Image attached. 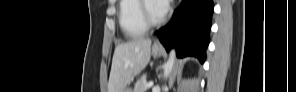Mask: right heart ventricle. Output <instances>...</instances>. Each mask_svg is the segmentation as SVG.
<instances>
[{"instance_id": "obj_1", "label": "right heart ventricle", "mask_w": 296, "mask_h": 92, "mask_svg": "<svg viewBox=\"0 0 296 92\" xmlns=\"http://www.w3.org/2000/svg\"><path fill=\"white\" fill-rule=\"evenodd\" d=\"M141 1L122 0L119 5V25L123 33L129 38L142 36L147 28L140 18Z\"/></svg>"}]
</instances>
